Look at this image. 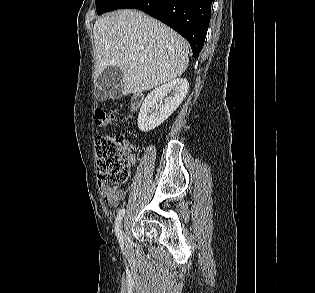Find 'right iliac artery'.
I'll return each instance as SVG.
<instances>
[{"instance_id":"82829eb1","label":"right iliac artery","mask_w":315,"mask_h":293,"mask_svg":"<svg viewBox=\"0 0 315 293\" xmlns=\"http://www.w3.org/2000/svg\"><path fill=\"white\" fill-rule=\"evenodd\" d=\"M124 214H125V209L123 208L118 212V215H117L116 221H115L116 236L119 240L120 245H122V246H123V237H122V232L120 230V223L122 221Z\"/></svg>"}]
</instances>
